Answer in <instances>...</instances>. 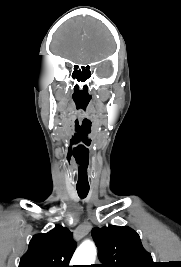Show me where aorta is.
Segmentation results:
<instances>
[{
    "mask_svg": "<svg viewBox=\"0 0 181 267\" xmlns=\"http://www.w3.org/2000/svg\"><path fill=\"white\" fill-rule=\"evenodd\" d=\"M96 254L95 244L90 240H86L75 251L71 263L72 265H93Z\"/></svg>",
    "mask_w": 181,
    "mask_h": 267,
    "instance_id": "1",
    "label": "aorta"
}]
</instances>
